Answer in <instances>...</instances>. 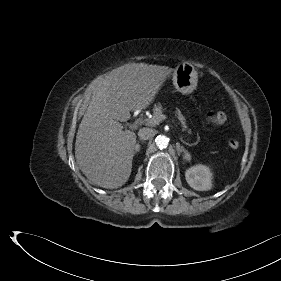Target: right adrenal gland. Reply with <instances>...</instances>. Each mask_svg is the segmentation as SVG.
<instances>
[{"label": "right adrenal gland", "mask_w": 281, "mask_h": 281, "mask_svg": "<svg viewBox=\"0 0 281 281\" xmlns=\"http://www.w3.org/2000/svg\"><path fill=\"white\" fill-rule=\"evenodd\" d=\"M140 144L139 142L135 145V153L139 152L140 151Z\"/></svg>", "instance_id": "2a0ac1e0"}]
</instances>
